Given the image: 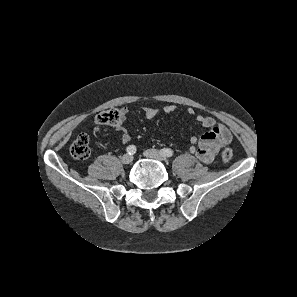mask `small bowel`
I'll return each mask as SVG.
<instances>
[{"mask_svg":"<svg viewBox=\"0 0 297 297\" xmlns=\"http://www.w3.org/2000/svg\"><path fill=\"white\" fill-rule=\"evenodd\" d=\"M164 112L166 114H171L175 112L176 107L174 105H167L164 107ZM189 115H195L194 109H188ZM121 120L124 119L128 113L126 107L120 109ZM158 114L157 108H146L144 110V115L147 119H152ZM196 120L201 123L204 127L208 128V132L204 133L198 144L195 139H192V146L190 147V152L195 154L198 159L202 162L210 163L213 161L215 155L220 151V149L227 145L231 140V134L229 130L219 124L211 116L196 115ZM117 130L121 131V140L124 144H127L131 140V135L127 129L123 126L122 122L116 125Z\"/></svg>","mask_w":297,"mask_h":297,"instance_id":"small-bowel-1","label":"small bowel"}]
</instances>
